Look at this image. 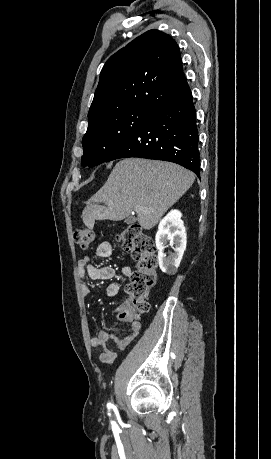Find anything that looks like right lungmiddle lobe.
Wrapping results in <instances>:
<instances>
[{
  "mask_svg": "<svg viewBox=\"0 0 271 459\" xmlns=\"http://www.w3.org/2000/svg\"><path fill=\"white\" fill-rule=\"evenodd\" d=\"M155 110L149 106H135L89 121L87 132L82 139V165L94 167L105 162Z\"/></svg>",
  "mask_w": 271,
  "mask_h": 459,
  "instance_id": "right-lung-middle-lobe-1",
  "label": "right lung middle lobe"
}]
</instances>
